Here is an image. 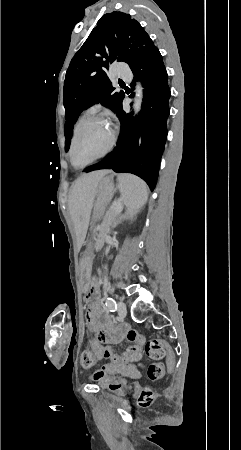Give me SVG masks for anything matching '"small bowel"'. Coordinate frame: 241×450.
<instances>
[{
  "label": "small bowel",
  "mask_w": 241,
  "mask_h": 450,
  "mask_svg": "<svg viewBox=\"0 0 241 450\" xmlns=\"http://www.w3.org/2000/svg\"><path fill=\"white\" fill-rule=\"evenodd\" d=\"M84 305L88 307V310L84 313L87 317V325H102V316H95V312L99 310V298H86ZM116 331L117 326L115 324H108L105 331H102L100 327L93 329L96 339L90 343L92 344L94 360L102 357L103 359H110L111 363L107 364L105 369L96 370L90 376V379L112 392H121L127 386L128 379L137 380L141 377L138 367L142 366V349L145 344V337L127 325H123L120 331ZM123 342H128L129 345L122 352H115L114 346ZM135 363L138 366H135Z\"/></svg>",
  "instance_id": "small-bowel-1"
}]
</instances>
